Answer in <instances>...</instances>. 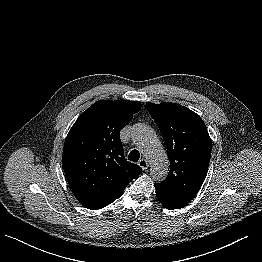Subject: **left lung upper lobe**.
Segmentation results:
<instances>
[{
  "instance_id": "5c2ea615",
  "label": "left lung upper lobe",
  "mask_w": 262,
  "mask_h": 262,
  "mask_svg": "<svg viewBox=\"0 0 262 262\" xmlns=\"http://www.w3.org/2000/svg\"><path fill=\"white\" fill-rule=\"evenodd\" d=\"M160 127L170 160V171L155 188L191 201L203 184L211 157L212 142L201 117L176 103H146Z\"/></svg>"
}]
</instances>
